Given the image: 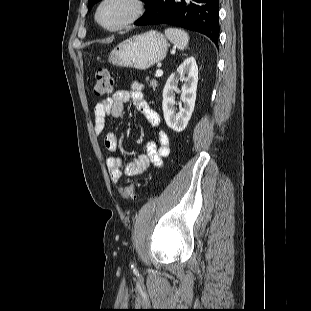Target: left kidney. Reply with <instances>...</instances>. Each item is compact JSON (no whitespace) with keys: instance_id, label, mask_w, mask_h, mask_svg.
Returning a JSON list of instances; mask_svg holds the SVG:
<instances>
[{"instance_id":"1","label":"left kidney","mask_w":311,"mask_h":311,"mask_svg":"<svg viewBox=\"0 0 311 311\" xmlns=\"http://www.w3.org/2000/svg\"><path fill=\"white\" fill-rule=\"evenodd\" d=\"M186 74V77H185ZM184 79L186 84L182 88L181 100L183 107L176 113L175 92L178 91L179 80ZM198 83V66L194 57H189L172 73L163 89L162 109L167 126L176 132L183 131L192 115L196 100Z\"/></svg>"}]
</instances>
